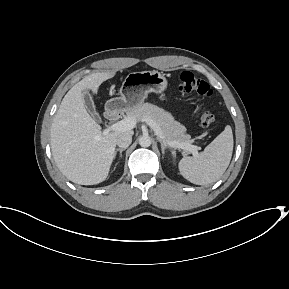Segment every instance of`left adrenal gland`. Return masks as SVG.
Wrapping results in <instances>:
<instances>
[{"mask_svg": "<svg viewBox=\"0 0 289 289\" xmlns=\"http://www.w3.org/2000/svg\"><path fill=\"white\" fill-rule=\"evenodd\" d=\"M157 141L160 143L162 153L164 154V153H165V149L167 148L166 143H165L162 139H160V138H158V137H157Z\"/></svg>", "mask_w": 289, "mask_h": 289, "instance_id": "obj_1", "label": "left adrenal gland"}]
</instances>
